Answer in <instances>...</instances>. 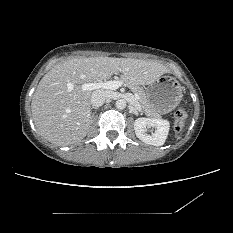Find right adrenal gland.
I'll use <instances>...</instances> for the list:
<instances>
[{
    "label": "right adrenal gland",
    "instance_id": "obj_1",
    "mask_svg": "<svg viewBox=\"0 0 233 233\" xmlns=\"http://www.w3.org/2000/svg\"><path fill=\"white\" fill-rule=\"evenodd\" d=\"M93 109H97V107H91L90 111H92ZM93 115H94V113H93Z\"/></svg>",
    "mask_w": 233,
    "mask_h": 233
}]
</instances>
